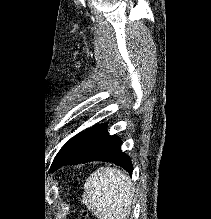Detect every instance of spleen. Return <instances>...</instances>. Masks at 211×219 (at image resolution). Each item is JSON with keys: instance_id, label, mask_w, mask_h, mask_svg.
<instances>
[{"instance_id": "3e777b00", "label": "spleen", "mask_w": 211, "mask_h": 219, "mask_svg": "<svg viewBox=\"0 0 211 219\" xmlns=\"http://www.w3.org/2000/svg\"><path fill=\"white\" fill-rule=\"evenodd\" d=\"M82 202L99 219H128L133 204V184L117 168L101 167L84 185Z\"/></svg>"}]
</instances>
